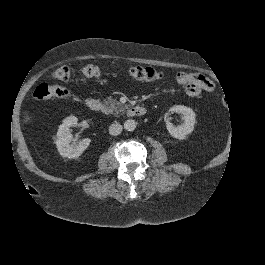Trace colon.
Returning a JSON list of instances; mask_svg holds the SVG:
<instances>
[{"label":"colon","mask_w":265,"mask_h":265,"mask_svg":"<svg viewBox=\"0 0 265 265\" xmlns=\"http://www.w3.org/2000/svg\"><path fill=\"white\" fill-rule=\"evenodd\" d=\"M127 72L134 78L143 81H154L160 79L162 74L151 67L135 66L127 69ZM102 71L95 65H87L81 69V74L85 77H98ZM71 69L67 66L58 67L53 72V77L59 81H67L71 78ZM69 96L68 90L60 86L39 84L33 91L36 100H47L53 98H66Z\"/></svg>","instance_id":"1"}]
</instances>
